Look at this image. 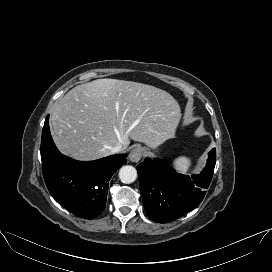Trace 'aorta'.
I'll return each mask as SVG.
<instances>
[{"instance_id": "1", "label": "aorta", "mask_w": 272, "mask_h": 272, "mask_svg": "<svg viewBox=\"0 0 272 272\" xmlns=\"http://www.w3.org/2000/svg\"><path fill=\"white\" fill-rule=\"evenodd\" d=\"M119 178L123 183H133L137 178V171L133 166H123L119 171Z\"/></svg>"}]
</instances>
